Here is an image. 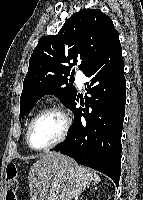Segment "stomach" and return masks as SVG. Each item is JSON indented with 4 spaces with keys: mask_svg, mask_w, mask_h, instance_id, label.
<instances>
[{
    "mask_svg": "<svg viewBox=\"0 0 143 200\" xmlns=\"http://www.w3.org/2000/svg\"><path fill=\"white\" fill-rule=\"evenodd\" d=\"M89 169L72 163L59 169L53 176L45 200H72L80 195L91 183Z\"/></svg>",
    "mask_w": 143,
    "mask_h": 200,
    "instance_id": "1",
    "label": "stomach"
}]
</instances>
